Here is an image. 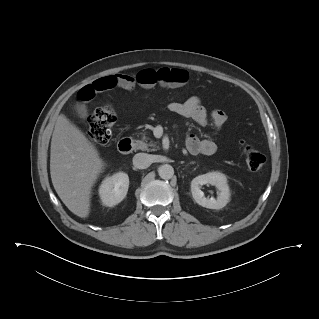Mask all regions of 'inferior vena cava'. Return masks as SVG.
<instances>
[{"instance_id":"1","label":"inferior vena cava","mask_w":319,"mask_h":319,"mask_svg":"<svg viewBox=\"0 0 319 319\" xmlns=\"http://www.w3.org/2000/svg\"><path fill=\"white\" fill-rule=\"evenodd\" d=\"M150 164V156L146 153H137L133 157V165L138 169L148 168Z\"/></svg>"}]
</instances>
